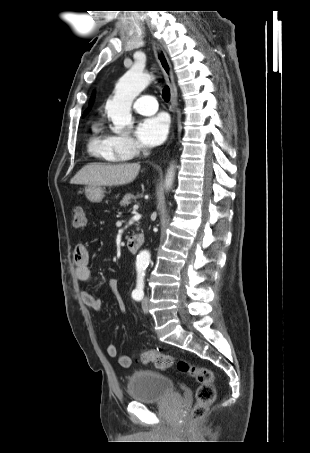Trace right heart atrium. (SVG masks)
<instances>
[{"label": "right heart atrium", "instance_id": "obj_1", "mask_svg": "<svg viewBox=\"0 0 310 453\" xmlns=\"http://www.w3.org/2000/svg\"><path fill=\"white\" fill-rule=\"evenodd\" d=\"M111 142L115 150L126 158L136 156L142 149V145L127 134L111 135Z\"/></svg>", "mask_w": 310, "mask_h": 453}]
</instances>
